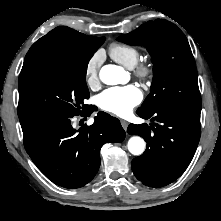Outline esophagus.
Returning <instances> with one entry per match:
<instances>
[{
	"label": "esophagus",
	"instance_id": "1",
	"mask_svg": "<svg viewBox=\"0 0 221 221\" xmlns=\"http://www.w3.org/2000/svg\"><path fill=\"white\" fill-rule=\"evenodd\" d=\"M121 125L124 128V130H127V127H128V122L127 121L121 120Z\"/></svg>",
	"mask_w": 221,
	"mask_h": 221
}]
</instances>
